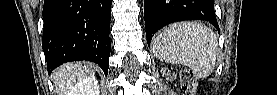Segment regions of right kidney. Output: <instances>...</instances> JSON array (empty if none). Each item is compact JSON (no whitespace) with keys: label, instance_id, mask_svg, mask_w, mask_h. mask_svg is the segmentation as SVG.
<instances>
[{"label":"right kidney","instance_id":"1","mask_svg":"<svg viewBox=\"0 0 277 95\" xmlns=\"http://www.w3.org/2000/svg\"><path fill=\"white\" fill-rule=\"evenodd\" d=\"M77 93L75 95H99V86L97 79L92 77H87L80 81L77 85Z\"/></svg>","mask_w":277,"mask_h":95}]
</instances>
